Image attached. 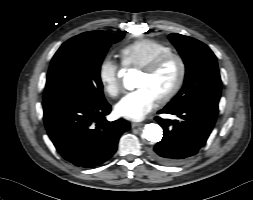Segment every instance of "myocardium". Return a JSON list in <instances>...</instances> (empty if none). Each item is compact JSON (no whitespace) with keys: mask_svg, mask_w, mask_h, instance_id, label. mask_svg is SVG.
<instances>
[{"mask_svg":"<svg viewBox=\"0 0 253 200\" xmlns=\"http://www.w3.org/2000/svg\"><path fill=\"white\" fill-rule=\"evenodd\" d=\"M171 61H176L178 64L179 67L178 76L171 89L157 99L158 102L161 104L166 103L171 99H173L182 88L186 77L185 60L179 54L172 52L157 58L156 60H154L153 62H151L150 64L141 69L142 73H145L147 75H153L159 72L166 64H168Z\"/></svg>","mask_w":253,"mask_h":200,"instance_id":"obj_1","label":"myocardium"}]
</instances>
